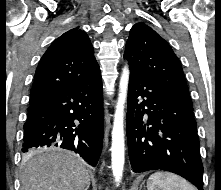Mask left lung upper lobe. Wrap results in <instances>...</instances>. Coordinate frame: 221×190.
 Here are the masks:
<instances>
[{"instance_id": "1", "label": "left lung upper lobe", "mask_w": 221, "mask_h": 190, "mask_svg": "<svg viewBox=\"0 0 221 190\" xmlns=\"http://www.w3.org/2000/svg\"><path fill=\"white\" fill-rule=\"evenodd\" d=\"M124 57L129 61L131 71L152 79L182 102L192 105L177 56L152 28L143 23L131 28Z\"/></svg>"}]
</instances>
